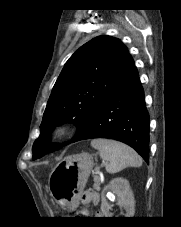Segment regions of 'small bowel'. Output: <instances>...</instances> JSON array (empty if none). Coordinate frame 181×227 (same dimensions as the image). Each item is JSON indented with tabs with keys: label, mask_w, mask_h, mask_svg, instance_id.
Listing matches in <instances>:
<instances>
[{
	"label": "small bowel",
	"mask_w": 181,
	"mask_h": 227,
	"mask_svg": "<svg viewBox=\"0 0 181 227\" xmlns=\"http://www.w3.org/2000/svg\"><path fill=\"white\" fill-rule=\"evenodd\" d=\"M100 201V195L98 192L94 191V190H88L86 192H84L83 196H82V203L84 205H90V204H98ZM82 215L84 216H90L91 213L89 212L88 209H84L82 211ZM100 213H96V216H99Z\"/></svg>",
	"instance_id": "1"
}]
</instances>
